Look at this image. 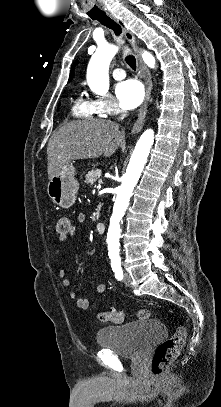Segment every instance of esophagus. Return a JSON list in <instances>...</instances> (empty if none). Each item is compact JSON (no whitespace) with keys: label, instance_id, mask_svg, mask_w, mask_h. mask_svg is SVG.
Returning a JSON list of instances; mask_svg holds the SVG:
<instances>
[{"label":"esophagus","instance_id":"34e87169","mask_svg":"<svg viewBox=\"0 0 221 407\" xmlns=\"http://www.w3.org/2000/svg\"><path fill=\"white\" fill-rule=\"evenodd\" d=\"M106 14L110 18H112L121 27L124 36L129 41V43L131 44V46L133 48V51H134V54H135V57L137 60L138 68H139L142 76L145 79V84H146L145 99L139 110L138 118L131 129V134H135V133H138L143 128V125L145 122L148 102H149L151 90H152V79H151L149 70L143 65V62L140 58L139 50L136 45L134 35L126 28L125 24L121 20H118L112 13L106 12Z\"/></svg>","mask_w":221,"mask_h":407}]
</instances>
